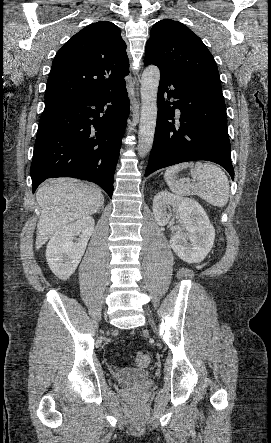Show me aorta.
<instances>
[{"label":"aorta","instance_id":"obj_1","mask_svg":"<svg viewBox=\"0 0 271 443\" xmlns=\"http://www.w3.org/2000/svg\"><path fill=\"white\" fill-rule=\"evenodd\" d=\"M160 82V70L156 66L145 68L141 84V114L137 152L145 158L152 150L157 120V94Z\"/></svg>","mask_w":271,"mask_h":443}]
</instances>
